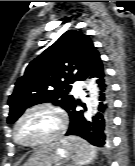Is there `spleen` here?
<instances>
[{
	"label": "spleen",
	"instance_id": "1",
	"mask_svg": "<svg viewBox=\"0 0 135 166\" xmlns=\"http://www.w3.org/2000/svg\"><path fill=\"white\" fill-rule=\"evenodd\" d=\"M61 141L73 150L76 166H82L90 163L97 154V150L94 146L79 137L69 136Z\"/></svg>",
	"mask_w": 135,
	"mask_h": 166
}]
</instances>
